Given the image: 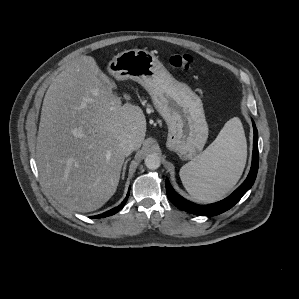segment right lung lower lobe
<instances>
[{
  "label": "right lung lower lobe",
  "mask_w": 299,
  "mask_h": 299,
  "mask_svg": "<svg viewBox=\"0 0 299 299\" xmlns=\"http://www.w3.org/2000/svg\"><path fill=\"white\" fill-rule=\"evenodd\" d=\"M129 191H130V189H129ZM129 191H128L127 196H126V198L124 199V201H123L118 207H115V208H113V209H111V210H109V211H107V212H105V213H103V214L93 216L92 218H102V217H107V216L113 215V214H115L116 212H118V211H119L120 209H122L123 206L125 205V203H126V201H127V199H128V196H129Z\"/></svg>",
  "instance_id": "1"
}]
</instances>
